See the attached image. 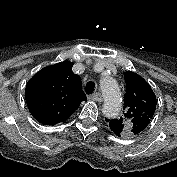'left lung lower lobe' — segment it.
<instances>
[{"mask_svg": "<svg viewBox=\"0 0 177 177\" xmlns=\"http://www.w3.org/2000/svg\"><path fill=\"white\" fill-rule=\"evenodd\" d=\"M106 120H107V119H106ZM110 129H111V128H110ZM111 131H113V130H111ZM113 132H114V134H116L117 136H119V135L117 134V133H118L117 131L114 130ZM119 137H120V136H119Z\"/></svg>", "mask_w": 177, "mask_h": 177, "instance_id": "left-lung-lower-lobe-1", "label": "left lung lower lobe"}]
</instances>
